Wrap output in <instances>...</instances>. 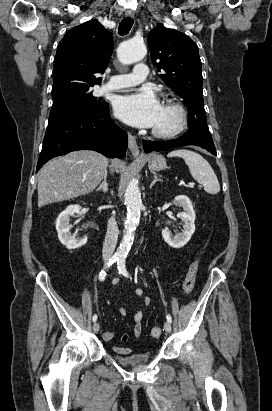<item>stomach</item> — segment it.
I'll list each match as a JSON object with an SVG mask.
<instances>
[{
	"label": "stomach",
	"mask_w": 272,
	"mask_h": 411,
	"mask_svg": "<svg viewBox=\"0 0 272 411\" xmlns=\"http://www.w3.org/2000/svg\"><path fill=\"white\" fill-rule=\"evenodd\" d=\"M148 167L154 171H160L166 168V160L160 154H151L147 157Z\"/></svg>",
	"instance_id": "1"
}]
</instances>
